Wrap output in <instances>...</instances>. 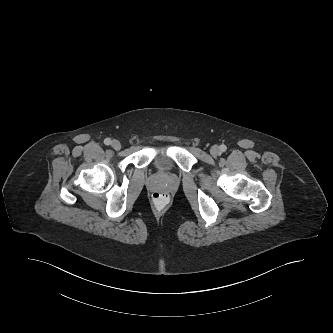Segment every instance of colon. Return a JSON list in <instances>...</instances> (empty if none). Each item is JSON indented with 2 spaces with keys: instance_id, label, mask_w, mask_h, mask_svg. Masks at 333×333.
<instances>
[{
  "instance_id": "5ec220e1",
  "label": "colon",
  "mask_w": 333,
  "mask_h": 333,
  "mask_svg": "<svg viewBox=\"0 0 333 333\" xmlns=\"http://www.w3.org/2000/svg\"><path fill=\"white\" fill-rule=\"evenodd\" d=\"M169 196L166 192L158 191L153 195L152 206L156 210H162L169 204Z\"/></svg>"
}]
</instances>
